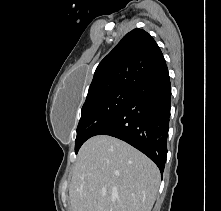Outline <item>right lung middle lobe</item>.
I'll use <instances>...</instances> for the list:
<instances>
[{
	"label": "right lung middle lobe",
	"mask_w": 221,
	"mask_h": 211,
	"mask_svg": "<svg viewBox=\"0 0 221 211\" xmlns=\"http://www.w3.org/2000/svg\"><path fill=\"white\" fill-rule=\"evenodd\" d=\"M132 88H117L87 99L77 127L75 152L123 107Z\"/></svg>",
	"instance_id": "1"
}]
</instances>
